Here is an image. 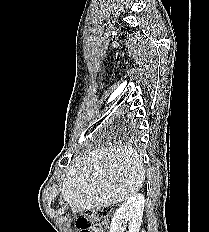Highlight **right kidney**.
<instances>
[{
  "mask_svg": "<svg viewBox=\"0 0 209 232\" xmlns=\"http://www.w3.org/2000/svg\"><path fill=\"white\" fill-rule=\"evenodd\" d=\"M145 199L142 194H135L127 199L115 212L110 225V232H139ZM128 223V228L126 224Z\"/></svg>",
  "mask_w": 209,
  "mask_h": 232,
  "instance_id": "right-kidney-1",
  "label": "right kidney"
}]
</instances>
